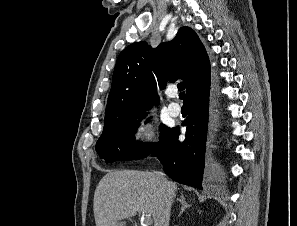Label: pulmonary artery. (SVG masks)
<instances>
[{"instance_id":"pulmonary-artery-1","label":"pulmonary artery","mask_w":297,"mask_h":226,"mask_svg":"<svg viewBox=\"0 0 297 226\" xmlns=\"http://www.w3.org/2000/svg\"><path fill=\"white\" fill-rule=\"evenodd\" d=\"M168 95L170 97H174L175 93L170 92ZM168 111H169L170 115H172L174 117L179 116L181 113V106L178 103H170L168 105Z\"/></svg>"}]
</instances>
